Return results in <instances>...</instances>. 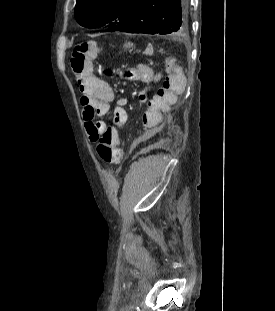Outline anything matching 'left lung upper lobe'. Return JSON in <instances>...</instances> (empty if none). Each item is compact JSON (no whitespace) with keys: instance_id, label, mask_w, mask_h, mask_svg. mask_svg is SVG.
Here are the masks:
<instances>
[{"instance_id":"1","label":"left lung upper lobe","mask_w":275,"mask_h":311,"mask_svg":"<svg viewBox=\"0 0 275 311\" xmlns=\"http://www.w3.org/2000/svg\"><path fill=\"white\" fill-rule=\"evenodd\" d=\"M142 0H77L75 18L87 28L108 26L114 31L129 19Z\"/></svg>"}]
</instances>
